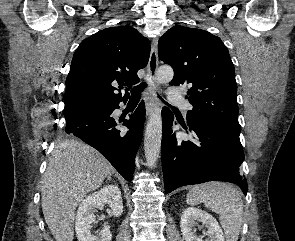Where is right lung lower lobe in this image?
Listing matches in <instances>:
<instances>
[{
	"mask_svg": "<svg viewBox=\"0 0 295 241\" xmlns=\"http://www.w3.org/2000/svg\"><path fill=\"white\" fill-rule=\"evenodd\" d=\"M126 102L127 99L122 100ZM121 102V101H120ZM83 110L66 120V133H71L97 149L126 179L132 180L135 155L142 138L145 105L142 101L129 120H116L112 112L119 103ZM127 133L117 128L121 123Z\"/></svg>",
	"mask_w": 295,
	"mask_h": 241,
	"instance_id": "right-lung-lower-lobe-1",
	"label": "right lung lower lobe"
}]
</instances>
